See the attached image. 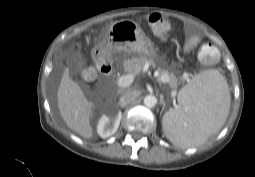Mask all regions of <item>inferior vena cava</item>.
Wrapping results in <instances>:
<instances>
[{"mask_svg": "<svg viewBox=\"0 0 255 177\" xmlns=\"http://www.w3.org/2000/svg\"><path fill=\"white\" fill-rule=\"evenodd\" d=\"M138 95H139V93L137 91H128V92H125L120 97V106L121 107H125V106L133 103L137 99Z\"/></svg>", "mask_w": 255, "mask_h": 177, "instance_id": "obj_1", "label": "inferior vena cava"}]
</instances>
